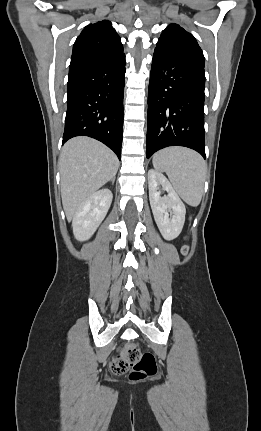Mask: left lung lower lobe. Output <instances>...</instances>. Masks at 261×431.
<instances>
[{
  "instance_id": "left-lung-lower-lobe-1",
  "label": "left lung lower lobe",
  "mask_w": 261,
  "mask_h": 431,
  "mask_svg": "<svg viewBox=\"0 0 261 431\" xmlns=\"http://www.w3.org/2000/svg\"><path fill=\"white\" fill-rule=\"evenodd\" d=\"M204 67L155 49L148 91L146 156L184 146L205 158Z\"/></svg>"
}]
</instances>
